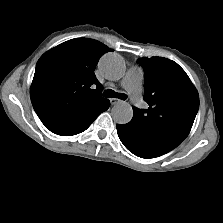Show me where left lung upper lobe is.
Instances as JSON below:
<instances>
[{"instance_id": "1", "label": "left lung upper lobe", "mask_w": 223, "mask_h": 223, "mask_svg": "<svg viewBox=\"0 0 223 223\" xmlns=\"http://www.w3.org/2000/svg\"><path fill=\"white\" fill-rule=\"evenodd\" d=\"M148 109L133 107L131 123L145 138L177 147L188 136L199 109L198 93L185 71L163 57L142 58Z\"/></svg>"}]
</instances>
